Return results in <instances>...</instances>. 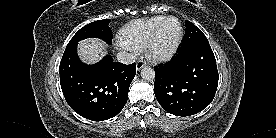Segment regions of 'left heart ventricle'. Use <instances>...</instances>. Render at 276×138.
<instances>
[{
	"label": "left heart ventricle",
	"instance_id": "1",
	"mask_svg": "<svg viewBox=\"0 0 276 138\" xmlns=\"http://www.w3.org/2000/svg\"><path fill=\"white\" fill-rule=\"evenodd\" d=\"M178 34L179 24L175 20L168 21L161 32L158 47L162 50L168 49L175 42Z\"/></svg>",
	"mask_w": 276,
	"mask_h": 138
}]
</instances>
